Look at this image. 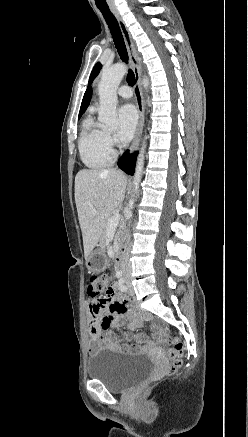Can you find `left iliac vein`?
<instances>
[{
  "mask_svg": "<svg viewBox=\"0 0 248 437\" xmlns=\"http://www.w3.org/2000/svg\"><path fill=\"white\" fill-rule=\"evenodd\" d=\"M126 285H127L128 293L130 295H133L134 294V288H133L132 283H131V281L129 279L126 280Z\"/></svg>",
  "mask_w": 248,
  "mask_h": 437,
  "instance_id": "obj_1",
  "label": "left iliac vein"
}]
</instances>
